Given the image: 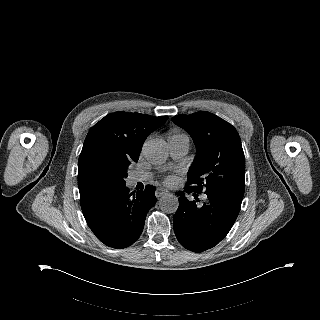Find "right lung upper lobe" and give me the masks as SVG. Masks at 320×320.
I'll use <instances>...</instances> for the list:
<instances>
[{
    "label": "right lung upper lobe",
    "mask_w": 320,
    "mask_h": 320,
    "mask_svg": "<svg viewBox=\"0 0 320 320\" xmlns=\"http://www.w3.org/2000/svg\"><path fill=\"white\" fill-rule=\"evenodd\" d=\"M167 116L152 117L117 112L96 123L88 132L78 161V187L101 182V166L126 160L137 162L145 139Z\"/></svg>",
    "instance_id": "right-lung-upper-lobe-1"
}]
</instances>
